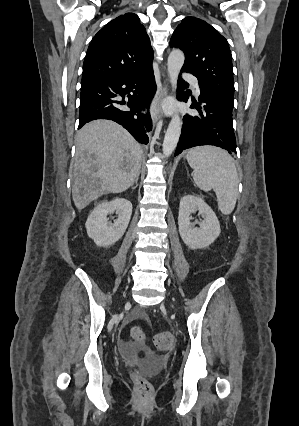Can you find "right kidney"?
<instances>
[{
  "label": "right kidney",
  "mask_w": 299,
  "mask_h": 426,
  "mask_svg": "<svg viewBox=\"0 0 299 426\" xmlns=\"http://www.w3.org/2000/svg\"><path fill=\"white\" fill-rule=\"evenodd\" d=\"M118 219L114 224L108 222L107 215L115 212ZM132 215V204L125 198H115L98 204L86 221L88 236L100 247L117 242L125 233Z\"/></svg>",
  "instance_id": "right-kidney-1"
}]
</instances>
